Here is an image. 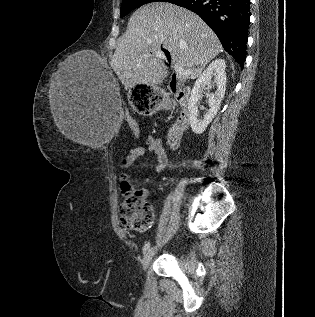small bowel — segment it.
Segmentation results:
<instances>
[{"label": "small bowel", "mask_w": 315, "mask_h": 317, "mask_svg": "<svg viewBox=\"0 0 315 317\" xmlns=\"http://www.w3.org/2000/svg\"><path fill=\"white\" fill-rule=\"evenodd\" d=\"M146 144L148 146V150L149 152H151L157 160V165L155 167V170L157 172H161L162 170H164L167 165H168V154L162 144V141L157 138L154 137L152 135L147 136L146 138ZM145 148L142 146H134L130 149L129 154L123 159L122 163H121V178H120V191L123 194L122 191V184L125 181H129L130 180V175L127 172V170L139 159L141 158L144 154H145ZM144 195H147V191L143 190ZM122 224L125 227H128V225H126L123 220L121 219Z\"/></svg>", "instance_id": "small-bowel-1"}]
</instances>
